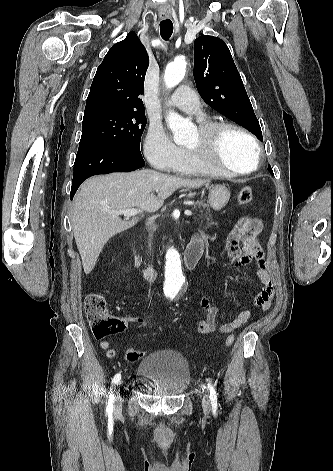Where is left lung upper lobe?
Segmentation results:
<instances>
[{"label": "left lung upper lobe", "mask_w": 333, "mask_h": 471, "mask_svg": "<svg viewBox=\"0 0 333 471\" xmlns=\"http://www.w3.org/2000/svg\"><path fill=\"white\" fill-rule=\"evenodd\" d=\"M194 79L198 92L212 108L263 141L262 131L227 45L203 35L194 43ZM268 171L273 170L268 165Z\"/></svg>", "instance_id": "5c2ea615"}]
</instances>
